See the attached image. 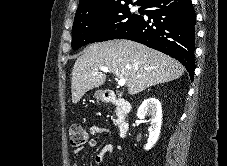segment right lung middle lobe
Wrapping results in <instances>:
<instances>
[{
  "label": "right lung middle lobe",
  "instance_id": "dd1d6c3e",
  "mask_svg": "<svg viewBox=\"0 0 227 166\" xmlns=\"http://www.w3.org/2000/svg\"><path fill=\"white\" fill-rule=\"evenodd\" d=\"M129 4L76 13L72 27V48L79 49L89 43L116 39L121 33L137 23L144 12L130 13ZM135 5V4H134Z\"/></svg>",
  "mask_w": 227,
  "mask_h": 166
}]
</instances>
